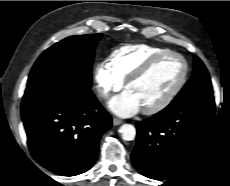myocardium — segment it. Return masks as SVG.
Here are the masks:
<instances>
[{
    "instance_id": "1",
    "label": "myocardium",
    "mask_w": 230,
    "mask_h": 186,
    "mask_svg": "<svg viewBox=\"0 0 230 186\" xmlns=\"http://www.w3.org/2000/svg\"><path fill=\"white\" fill-rule=\"evenodd\" d=\"M168 56H174L179 58L183 63V73L179 80V82L175 85V87L158 103L155 105L142 109L144 114L151 115L156 114L166 107H168L173 100L176 98V96L180 93V91L185 86L188 76H189V64L185 57L181 55L178 52L167 50L161 53H158L151 58H149L140 68H138L132 75L128 77V79L125 82V88H127L131 83L141 79L144 77L153 67L154 65L159 62L161 59L168 57Z\"/></svg>"
}]
</instances>
